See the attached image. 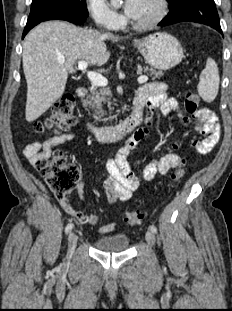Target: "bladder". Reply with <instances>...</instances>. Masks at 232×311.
<instances>
[{
  "mask_svg": "<svg viewBox=\"0 0 232 311\" xmlns=\"http://www.w3.org/2000/svg\"><path fill=\"white\" fill-rule=\"evenodd\" d=\"M129 246V239L126 234L113 233L98 237L95 241V248L101 252H123Z\"/></svg>",
  "mask_w": 232,
  "mask_h": 311,
  "instance_id": "1",
  "label": "bladder"
}]
</instances>
